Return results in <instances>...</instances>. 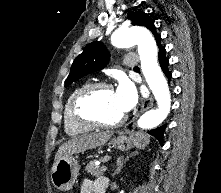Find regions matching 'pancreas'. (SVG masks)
<instances>
[{"label": "pancreas", "instance_id": "1", "mask_svg": "<svg viewBox=\"0 0 221 193\" xmlns=\"http://www.w3.org/2000/svg\"><path fill=\"white\" fill-rule=\"evenodd\" d=\"M101 166L95 165V160L90 161L87 166L85 167V170L91 174L92 176L99 177L103 173L101 172Z\"/></svg>", "mask_w": 221, "mask_h": 193}]
</instances>
